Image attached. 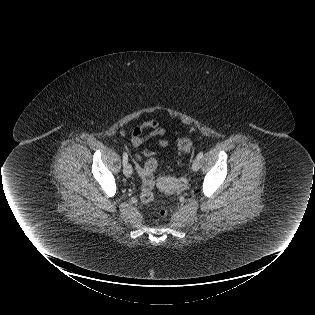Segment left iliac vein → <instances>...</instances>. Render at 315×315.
I'll list each match as a JSON object with an SVG mask.
<instances>
[{"instance_id": "left-iliac-vein-1", "label": "left iliac vein", "mask_w": 315, "mask_h": 315, "mask_svg": "<svg viewBox=\"0 0 315 315\" xmlns=\"http://www.w3.org/2000/svg\"><path fill=\"white\" fill-rule=\"evenodd\" d=\"M199 168H200V159L195 158L192 162V170L196 172L199 170Z\"/></svg>"}]
</instances>
